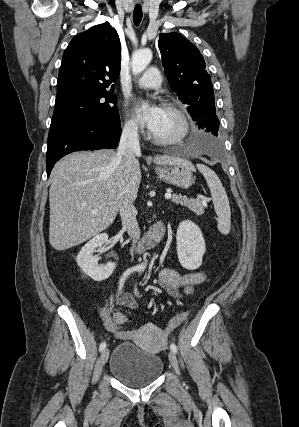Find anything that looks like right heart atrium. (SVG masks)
Returning a JSON list of instances; mask_svg holds the SVG:
<instances>
[{
  "label": "right heart atrium",
  "instance_id": "d8ad5b80",
  "mask_svg": "<svg viewBox=\"0 0 299 427\" xmlns=\"http://www.w3.org/2000/svg\"><path fill=\"white\" fill-rule=\"evenodd\" d=\"M139 132L137 123L133 119L127 118L123 125V133L130 138H136L139 136Z\"/></svg>",
  "mask_w": 299,
  "mask_h": 427
}]
</instances>
